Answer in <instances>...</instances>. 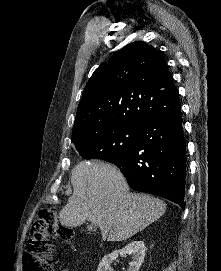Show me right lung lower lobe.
I'll use <instances>...</instances> for the list:
<instances>
[{
  "mask_svg": "<svg viewBox=\"0 0 221 271\" xmlns=\"http://www.w3.org/2000/svg\"><path fill=\"white\" fill-rule=\"evenodd\" d=\"M129 186L185 209L186 144L181 106L141 126L136 144L113 162Z\"/></svg>",
  "mask_w": 221,
  "mask_h": 271,
  "instance_id": "obj_1",
  "label": "right lung lower lobe"
}]
</instances>
